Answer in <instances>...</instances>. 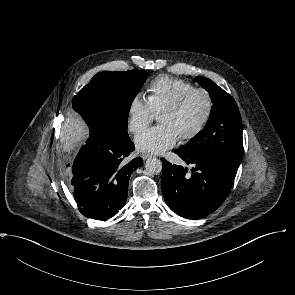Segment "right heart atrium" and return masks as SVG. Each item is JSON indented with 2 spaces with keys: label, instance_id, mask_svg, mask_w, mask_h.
Masks as SVG:
<instances>
[{
  "label": "right heart atrium",
  "instance_id": "d8ad5b80",
  "mask_svg": "<svg viewBox=\"0 0 295 295\" xmlns=\"http://www.w3.org/2000/svg\"><path fill=\"white\" fill-rule=\"evenodd\" d=\"M128 128L138 134L157 117L149 100L141 94L132 97L128 105Z\"/></svg>",
  "mask_w": 295,
  "mask_h": 295
}]
</instances>
